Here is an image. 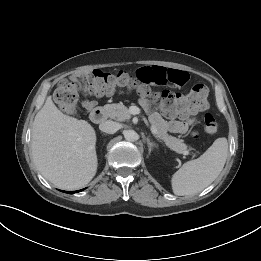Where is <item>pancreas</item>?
Returning a JSON list of instances; mask_svg holds the SVG:
<instances>
[{
  "label": "pancreas",
  "mask_w": 261,
  "mask_h": 261,
  "mask_svg": "<svg viewBox=\"0 0 261 261\" xmlns=\"http://www.w3.org/2000/svg\"><path fill=\"white\" fill-rule=\"evenodd\" d=\"M104 109L107 116L111 119L122 122L131 118L128 108L123 103L107 104L104 106ZM151 123L157 129L158 137L163 140L166 146L170 149L180 154H185V152L189 151L190 148L188 149V146L182 139L169 135L167 131L161 128L160 125L154 120H151Z\"/></svg>",
  "instance_id": "obj_1"
}]
</instances>
